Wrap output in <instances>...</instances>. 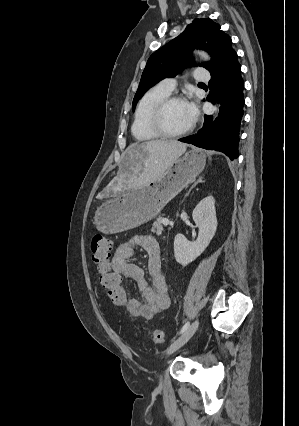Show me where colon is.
<instances>
[{"mask_svg":"<svg viewBox=\"0 0 299 426\" xmlns=\"http://www.w3.org/2000/svg\"><path fill=\"white\" fill-rule=\"evenodd\" d=\"M92 261L99 272V281L105 289L107 296L115 305L121 306L127 298V290L122 279L111 267L110 256L112 242L102 234H95L91 240ZM151 338L155 344L165 342V335L160 330H153Z\"/></svg>","mask_w":299,"mask_h":426,"instance_id":"colon-1","label":"colon"}]
</instances>
